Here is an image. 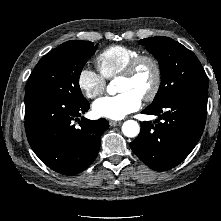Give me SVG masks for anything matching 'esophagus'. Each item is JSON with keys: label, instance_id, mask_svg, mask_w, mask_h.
<instances>
[{"label": "esophagus", "instance_id": "esophagus-1", "mask_svg": "<svg viewBox=\"0 0 221 221\" xmlns=\"http://www.w3.org/2000/svg\"><path fill=\"white\" fill-rule=\"evenodd\" d=\"M121 121H110L109 122V124H110V126H113V127H115V126H119V125H121Z\"/></svg>", "mask_w": 221, "mask_h": 221}]
</instances>
